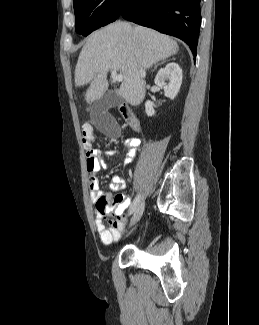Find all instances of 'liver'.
Wrapping results in <instances>:
<instances>
[{"instance_id": "6515ba94", "label": "liver", "mask_w": 259, "mask_h": 325, "mask_svg": "<svg viewBox=\"0 0 259 325\" xmlns=\"http://www.w3.org/2000/svg\"><path fill=\"white\" fill-rule=\"evenodd\" d=\"M178 50L177 42L167 35L116 21L87 38L75 68V84L82 86L90 82L85 100L91 104L107 91V73L120 71L124 76L120 95L129 104L139 105L145 97V74L142 71Z\"/></svg>"}]
</instances>
